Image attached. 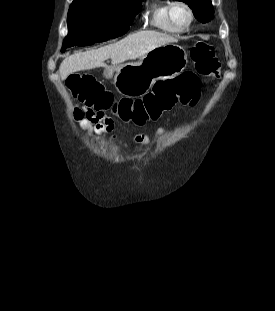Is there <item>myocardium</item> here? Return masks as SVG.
Masks as SVG:
<instances>
[{
  "mask_svg": "<svg viewBox=\"0 0 275 311\" xmlns=\"http://www.w3.org/2000/svg\"><path fill=\"white\" fill-rule=\"evenodd\" d=\"M179 5L182 6V7H184V8L187 10L188 15H189L188 22H187V24H186L185 26H183V27H178V26H176V25L174 24V22H173V19H172V10H173V8H174L175 6H179ZM167 19H168V22L170 23V25H171L177 32H183V31L187 30V29L191 26V24H192V22H193V20H194V12H193L191 6H190L188 3H186L185 1H183V0H174V1H172V2L169 4V6H168V8H167Z\"/></svg>",
  "mask_w": 275,
  "mask_h": 311,
  "instance_id": "f54148a6",
  "label": "myocardium"
}]
</instances>
